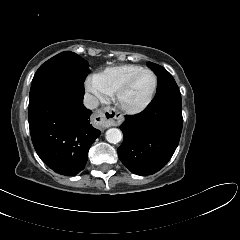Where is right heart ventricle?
<instances>
[{"label": "right heart ventricle", "instance_id": "right-heart-ventricle-1", "mask_svg": "<svg viewBox=\"0 0 240 240\" xmlns=\"http://www.w3.org/2000/svg\"><path fill=\"white\" fill-rule=\"evenodd\" d=\"M142 69V66L134 64L112 66L97 74V78L101 87L108 94L112 95L115 94L122 84L125 83L132 75Z\"/></svg>", "mask_w": 240, "mask_h": 240}]
</instances>
